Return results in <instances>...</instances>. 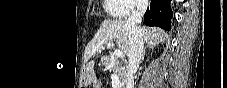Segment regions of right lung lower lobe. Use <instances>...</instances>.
Returning <instances> with one entry per match:
<instances>
[{"mask_svg": "<svg viewBox=\"0 0 227 88\" xmlns=\"http://www.w3.org/2000/svg\"><path fill=\"white\" fill-rule=\"evenodd\" d=\"M172 17L170 0H151L150 7L144 15V23L147 26L170 30Z\"/></svg>", "mask_w": 227, "mask_h": 88, "instance_id": "right-lung-lower-lobe-1", "label": "right lung lower lobe"}]
</instances>
